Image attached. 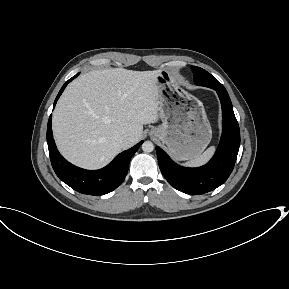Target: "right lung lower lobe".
<instances>
[{
  "label": "right lung lower lobe",
  "mask_w": 289,
  "mask_h": 289,
  "mask_svg": "<svg viewBox=\"0 0 289 289\" xmlns=\"http://www.w3.org/2000/svg\"><path fill=\"white\" fill-rule=\"evenodd\" d=\"M78 75L79 73L62 86L55 99L54 106L67 84ZM51 119L52 115L49 117L47 126L50 160L56 175L64 183L82 194L99 196L112 192L123 182L128 172L129 162L143 141L117 155L105 168L94 171L85 170L72 165L60 155L53 139Z\"/></svg>",
  "instance_id": "98d812e1"
}]
</instances>
